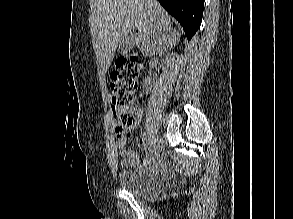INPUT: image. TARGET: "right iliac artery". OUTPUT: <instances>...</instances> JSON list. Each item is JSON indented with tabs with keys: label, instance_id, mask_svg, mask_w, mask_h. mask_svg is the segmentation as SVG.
I'll return each instance as SVG.
<instances>
[{
	"label": "right iliac artery",
	"instance_id": "obj_1",
	"mask_svg": "<svg viewBox=\"0 0 293 219\" xmlns=\"http://www.w3.org/2000/svg\"><path fill=\"white\" fill-rule=\"evenodd\" d=\"M152 136L151 132L146 134V137L149 139Z\"/></svg>",
	"mask_w": 293,
	"mask_h": 219
}]
</instances>
